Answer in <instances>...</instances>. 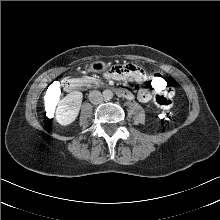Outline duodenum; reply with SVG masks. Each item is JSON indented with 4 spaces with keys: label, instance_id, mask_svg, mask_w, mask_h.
I'll list each match as a JSON object with an SVG mask.
<instances>
[{
    "label": "duodenum",
    "instance_id": "duodenum-1",
    "mask_svg": "<svg viewBox=\"0 0 220 220\" xmlns=\"http://www.w3.org/2000/svg\"><path fill=\"white\" fill-rule=\"evenodd\" d=\"M80 87V84L77 80H68L65 82V89L67 91H74ZM116 94L120 97L127 98L129 96V92L124 89H116Z\"/></svg>",
    "mask_w": 220,
    "mask_h": 220
}]
</instances>
